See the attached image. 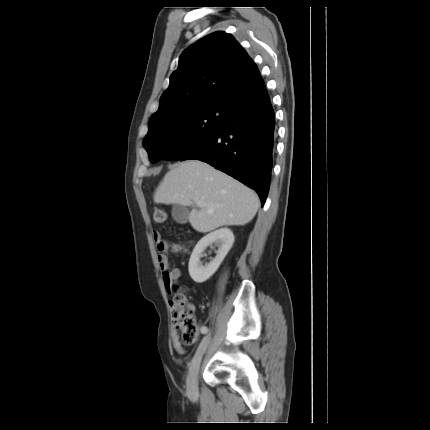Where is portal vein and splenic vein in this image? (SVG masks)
<instances>
[{
	"instance_id": "portal-vein-and-splenic-vein-1",
	"label": "portal vein and splenic vein",
	"mask_w": 430,
	"mask_h": 430,
	"mask_svg": "<svg viewBox=\"0 0 430 430\" xmlns=\"http://www.w3.org/2000/svg\"><path fill=\"white\" fill-rule=\"evenodd\" d=\"M194 202H195V204H196L197 206H199V207H201V206H203V205H204L203 201H202V200H199V199L194 200Z\"/></svg>"
}]
</instances>
